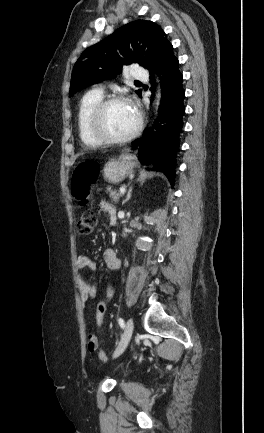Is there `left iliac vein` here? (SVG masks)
Here are the masks:
<instances>
[{"label": "left iliac vein", "instance_id": "left-iliac-vein-1", "mask_svg": "<svg viewBox=\"0 0 264 433\" xmlns=\"http://www.w3.org/2000/svg\"><path fill=\"white\" fill-rule=\"evenodd\" d=\"M133 329H134L133 321L131 318H129L127 320V323H126L124 334L122 336L121 342H120L119 346L117 347V349L115 350V352L113 354V358L118 357L119 355H121L124 352V350L126 349L128 343L132 337Z\"/></svg>", "mask_w": 264, "mask_h": 433}]
</instances>
